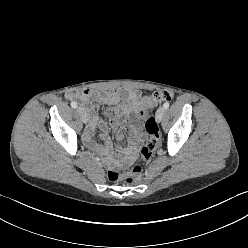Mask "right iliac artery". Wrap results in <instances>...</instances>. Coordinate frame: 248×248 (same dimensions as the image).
Returning a JSON list of instances; mask_svg holds the SVG:
<instances>
[{
	"mask_svg": "<svg viewBox=\"0 0 248 248\" xmlns=\"http://www.w3.org/2000/svg\"><path fill=\"white\" fill-rule=\"evenodd\" d=\"M71 107H72V108H77L76 102H71Z\"/></svg>",
	"mask_w": 248,
	"mask_h": 248,
	"instance_id": "82829eb1",
	"label": "right iliac artery"
}]
</instances>
